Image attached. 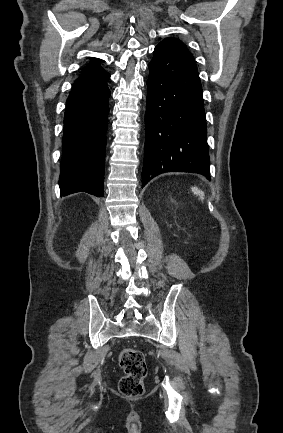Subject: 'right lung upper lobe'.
<instances>
[{"mask_svg": "<svg viewBox=\"0 0 283 433\" xmlns=\"http://www.w3.org/2000/svg\"><path fill=\"white\" fill-rule=\"evenodd\" d=\"M106 74L107 72L101 68L97 61L91 62L87 65V67L83 70L82 75L75 82L95 79Z\"/></svg>", "mask_w": 283, "mask_h": 433, "instance_id": "obj_1", "label": "right lung upper lobe"}]
</instances>
